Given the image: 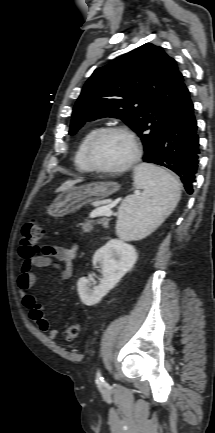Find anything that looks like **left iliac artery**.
Returning <instances> with one entry per match:
<instances>
[{
  "label": "left iliac artery",
  "mask_w": 215,
  "mask_h": 433,
  "mask_svg": "<svg viewBox=\"0 0 215 433\" xmlns=\"http://www.w3.org/2000/svg\"><path fill=\"white\" fill-rule=\"evenodd\" d=\"M103 379L104 378L102 377L100 370H98L96 373V381L97 382H103L104 381Z\"/></svg>",
  "instance_id": "obj_1"
}]
</instances>
